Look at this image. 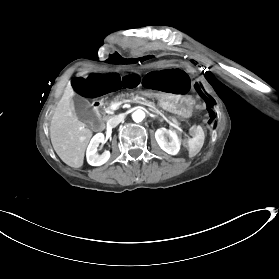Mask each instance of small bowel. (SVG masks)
Here are the masks:
<instances>
[{"instance_id": "small-bowel-1", "label": "small bowel", "mask_w": 279, "mask_h": 279, "mask_svg": "<svg viewBox=\"0 0 279 279\" xmlns=\"http://www.w3.org/2000/svg\"><path fill=\"white\" fill-rule=\"evenodd\" d=\"M145 89L156 93L180 95L188 91L190 79L175 68L158 69L145 74L141 79Z\"/></svg>"}]
</instances>
